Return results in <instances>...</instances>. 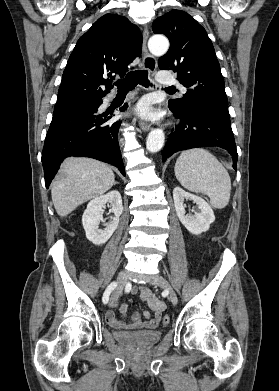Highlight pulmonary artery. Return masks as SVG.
<instances>
[{
    "label": "pulmonary artery",
    "instance_id": "e3ab8cb5",
    "mask_svg": "<svg viewBox=\"0 0 279 391\" xmlns=\"http://www.w3.org/2000/svg\"><path fill=\"white\" fill-rule=\"evenodd\" d=\"M157 80L163 84H174L176 82L175 78L171 74H167L165 72H159L157 74ZM182 90H185L181 87Z\"/></svg>",
    "mask_w": 279,
    "mask_h": 391
}]
</instances>
